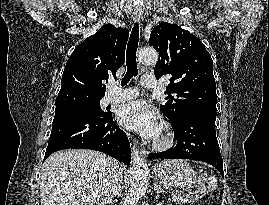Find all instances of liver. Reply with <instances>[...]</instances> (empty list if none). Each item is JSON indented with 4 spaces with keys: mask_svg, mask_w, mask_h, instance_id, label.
<instances>
[{
    "mask_svg": "<svg viewBox=\"0 0 269 205\" xmlns=\"http://www.w3.org/2000/svg\"><path fill=\"white\" fill-rule=\"evenodd\" d=\"M112 159L94 150H64L44 163L41 205H97Z\"/></svg>",
    "mask_w": 269,
    "mask_h": 205,
    "instance_id": "obj_1",
    "label": "liver"
}]
</instances>
